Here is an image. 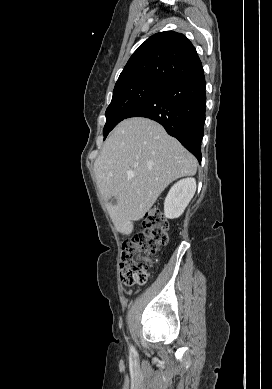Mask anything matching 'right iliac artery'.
<instances>
[{
    "instance_id": "obj_1",
    "label": "right iliac artery",
    "mask_w": 272,
    "mask_h": 389,
    "mask_svg": "<svg viewBox=\"0 0 272 389\" xmlns=\"http://www.w3.org/2000/svg\"><path fill=\"white\" fill-rule=\"evenodd\" d=\"M130 351H131V352H135L133 346L130 347Z\"/></svg>"
}]
</instances>
